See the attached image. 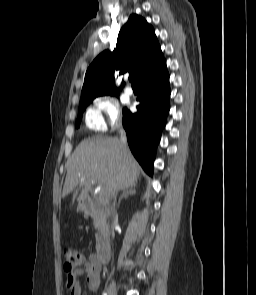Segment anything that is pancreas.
Here are the masks:
<instances>
[{"label":"pancreas","instance_id":"1","mask_svg":"<svg viewBox=\"0 0 256 295\" xmlns=\"http://www.w3.org/2000/svg\"><path fill=\"white\" fill-rule=\"evenodd\" d=\"M93 224L95 229L98 231L95 234L96 239H98L101 234H104L106 232L105 216L102 214H95Z\"/></svg>","mask_w":256,"mask_h":295}]
</instances>
